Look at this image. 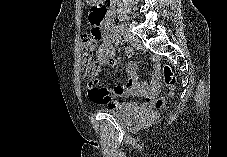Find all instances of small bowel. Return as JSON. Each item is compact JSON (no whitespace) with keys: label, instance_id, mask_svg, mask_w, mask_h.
<instances>
[{"label":"small bowel","instance_id":"small-bowel-1","mask_svg":"<svg viewBox=\"0 0 227 157\" xmlns=\"http://www.w3.org/2000/svg\"><path fill=\"white\" fill-rule=\"evenodd\" d=\"M99 39L101 40V44L96 52L98 64L109 67L116 66L118 60L115 58L114 45L118 42L113 33L99 32ZM125 74L127 76L126 83L115 85L112 88L99 86L96 83L94 85H88V96L90 100L96 104H105L109 108L127 111H136L151 107L160 87L158 66L156 65L155 67L150 84L138 81L136 65L133 61H129L125 65ZM127 95L141 96L143 97V101L137 104L135 102H119L116 100V97Z\"/></svg>","mask_w":227,"mask_h":157}]
</instances>
